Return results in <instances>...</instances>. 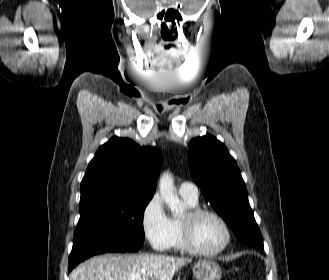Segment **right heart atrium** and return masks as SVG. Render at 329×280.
I'll return each mask as SVG.
<instances>
[{
	"mask_svg": "<svg viewBox=\"0 0 329 280\" xmlns=\"http://www.w3.org/2000/svg\"><path fill=\"white\" fill-rule=\"evenodd\" d=\"M141 228L148 243L158 251L167 250L172 240L171 220L159 195H153L143 207Z\"/></svg>",
	"mask_w": 329,
	"mask_h": 280,
	"instance_id": "obj_1",
	"label": "right heart atrium"
}]
</instances>
